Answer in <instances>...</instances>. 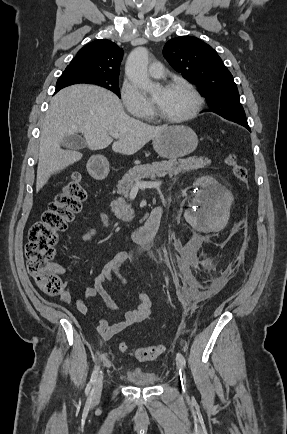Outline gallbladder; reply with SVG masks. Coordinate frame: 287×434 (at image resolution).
<instances>
[{"instance_id": "obj_1", "label": "gallbladder", "mask_w": 287, "mask_h": 434, "mask_svg": "<svg viewBox=\"0 0 287 434\" xmlns=\"http://www.w3.org/2000/svg\"><path fill=\"white\" fill-rule=\"evenodd\" d=\"M62 146L70 151H77L86 147L85 140L80 135L66 136L62 142Z\"/></svg>"}]
</instances>
